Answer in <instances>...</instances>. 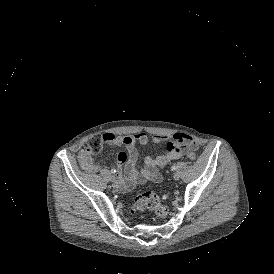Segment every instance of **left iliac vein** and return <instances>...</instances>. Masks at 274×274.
<instances>
[{
	"label": "left iliac vein",
	"mask_w": 274,
	"mask_h": 274,
	"mask_svg": "<svg viewBox=\"0 0 274 274\" xmlns=\"http://www.w3.org/2000/svg\"><path fill=\"white\" fill-rule=\"evenodd\" d=\"M173 178H174L175 180H178V179L180 178L179 173H174Z\"/></svg>",
	"instance_id": "1"
}]
</instances>
